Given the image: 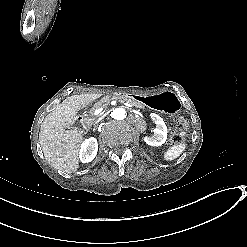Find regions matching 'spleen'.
Listing matches in <instances>:
<instances>
[{"mask_svg":"<svg viewBox=\"0 0 247 247\" xmlns=\"http://www.w3.org/2000/svg\"><path fill=\"white\" fill-rule=\"evenodd\" d=\"M187 142L182 141L176 144H173L168 149H166L162 154V159L165 162H171L176 160L184 153V151L187 149Z\"/></svg>","mask_w":247,"mask_h":247,"instance_id":"3e777b00","label":"spleen"}]
</instances>
